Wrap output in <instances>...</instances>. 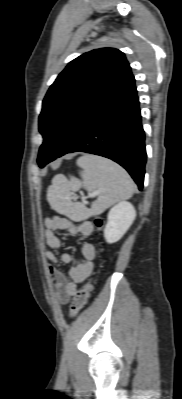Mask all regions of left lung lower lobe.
Listing matches in <instances>:
<instances>
[{
  "label": "left lung lower lobe",
  "instance_id": "0a47b994",
  "mask_svg": "<svg viewBox=\"0 0 182 399\" xmlns=\"http://www.w3.org/2000/svg\"><path fill=\"white\" fill-rule=\"evenodd\" d=\"M144 141L139 99L133 80L89 118L58 157L77 151L107 157L123 166L142 190L146 163Z\"/></svg>",
  "mask_w": 182,
  "mask_h": 399
}]
</instances>
